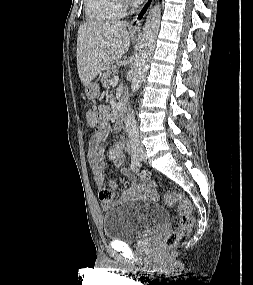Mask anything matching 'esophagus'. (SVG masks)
<instances>
[{"label":"esophagus","mask_w":253,"mask_h":285,"mask_svg":"<svg viewBox=\"0 0 253 285\" xmlns=\"http://www.w3.org/2000/svg\"><path fill=\"white\" fill-rule=\"evenodd\" d=\"M154 0H146L142 7L138 10L136 15L129 23L130 29L134 31H140L142 27V23L149 12L150 8L152 7Z\"/></svg>","instance_id":"obj_1"}]
</instances>
